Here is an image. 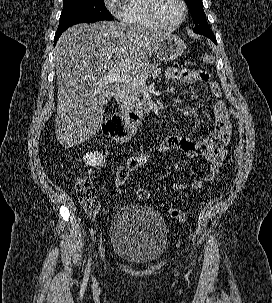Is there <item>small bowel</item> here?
Listing matches in <instances>:
<instances>
[{"instance_id": "obj_1", "label": "small bowel", "mask_w": 272, "mask_h": 303, "mask_svg": "<svg viewBox=\"0 0 272 303\" xmlns=\"http://www.w3.org/2000/svg\"><path fill=\"white\" fill-rule=\"evenodd\" d=\"M168 79L179 81L183 84H193L198 81L209 83V90L214 98L222 96L220 85L210 80V76L202 71L179 70L168 68L165 72ZM232 124L229 109L223 100H219L213 107V132L210 137L204 139H192L176 134H171L160 141L158 150L160 153L178 151L188 157H200L208 164V171L199 178L182 181L175 180L173 187L176 190L190 188L202 189L206 183L214 180L220 173L221 167L227 156V147L231 141ZM174 171H181L179 164L174 165Z\"/></svg>"}]
</instances>
